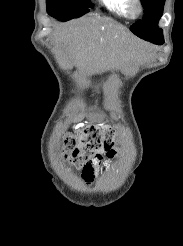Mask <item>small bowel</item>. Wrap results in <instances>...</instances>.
Listing matches in <instances>:
<instances>
[{"instance_id":"obj_1","label":"small bowel","mask_w":183,"mask_h":246,"mask_svg":"<svg viewBox=\"0 0 183 246\" xmlns=\"http://www.w3.org/2000/svg\"><path fill=\"white\" fill-rule=\"evenodd\" d=\"M103 151L96 153L82 168L81 177L86 184H91L98 174V167L103 160Z\"/></svg>"}]
</instances>
